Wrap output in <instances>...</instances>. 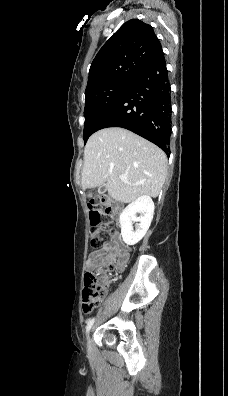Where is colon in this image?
Returning <instances> with one entry per match:
<instances>
[{
    "mask_svg": "<svg viewBox=\"0 0 228 396\" xmlns=\"http://www.w3.org/2000/svg\"><path fill=\"white\" fill-rule=\"evenodd\" d=\"M89 219L92 227L91 244L103 246L110 236L108 225L115 218L117 212L115 207L103 196L92 197L89 201ZM121 256L112 254L111 261L107 264V270H97L87 273L84 277L82 293V309L90 313L104 297L108 285V272L117 268Z\"/></svg>",
    "mask_w": 228,
    "mask_h": 396,
    "instance_id": "1",
    "label": "colon"
}]
</instances>
